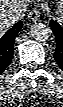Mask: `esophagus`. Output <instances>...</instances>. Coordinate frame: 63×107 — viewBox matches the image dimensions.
Segmentation results:
<instances>
[{
    "label": "esophagus",
    "instance_id": "esophagus-1",
    "mask_svg": "<svg viewBox=\"0 0 63 107\" xmlns=\"http://www.w3.org/2000/svg\"><path fill=\"white\" fill-rule=\"evenodd\" d=\"M28 17L30 20L32 21H36L39 19L40 17V11L38 8H32L30 11H29V14H28Z\"/></svg>",
    "mask_w": 63,
    "mask_h": 107
}]
</instances>
